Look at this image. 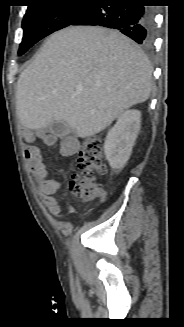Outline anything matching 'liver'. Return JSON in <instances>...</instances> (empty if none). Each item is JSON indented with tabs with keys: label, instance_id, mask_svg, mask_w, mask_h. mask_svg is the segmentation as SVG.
Returning <instances> with one entry per match:
<instances>
[{
	"label": "liver",
	"instance_id": "liver-1",
	"mask_svg": "<svg viewBox=\"0 0 184 327\" xmlns=\"http://www.w3.org/2000/svg\"><path fill=\"white\" fill-rule=\"evenodd\" d=\"M152 72L140 47L120 32L65 28L49 37L19 76L20 123L36 130L65 121L77 137L93 136L149 98Z\"/></svg>",
	"mask_w": 184,
	"mask_h": 327
}]
</instances>
